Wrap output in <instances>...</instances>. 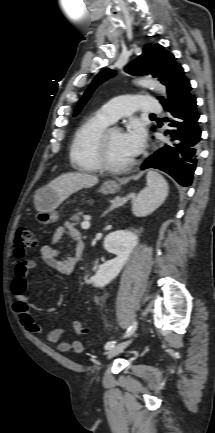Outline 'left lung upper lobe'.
Wrapping results in <instances>:
<instances>
[{
	"instance_id": "1",
	"label": "left lung upper lobe",
	"mask_w": 215,
	"mask_h": 433,
	"mask_svg": "<svg viewBox=\"0 0 215 433\" xmlns=\"http://www.w3.org/2000/svg\"><path fill=\"white\" fill-rule=\"evenodd\" d=\"M125 71L132 75L152 74L167 86V92L184 78L183 68L175 61L173 54L159 44H147L142 55L131 62ZM114 74L110 69H103L92 81L83 97L78 102L74 115H77L85 105L94 89ZM154 129V127H153Z\"/></svg>"
}]
</instances>
